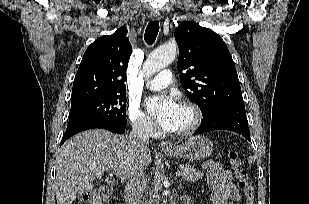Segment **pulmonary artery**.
<instances>
[{"mask_svg":"<svg viewBox=\"0 0 309 204\" xmlns=\"http://www.w3.org/2000/svg\"><path fill=\"white\" fill-rule=\"evenodd\" d=\"M172 82V72L170 70H164L156 77L146 82V87L152 90L163 89L169 86Z\"/></svg>","mask_w":309,"mask_h":204,"instance_id":"e3ab8cb5","label":"pulmonary artery"}]
</instances>
